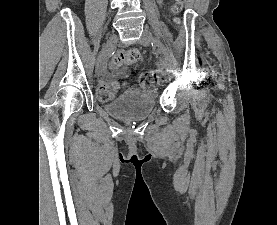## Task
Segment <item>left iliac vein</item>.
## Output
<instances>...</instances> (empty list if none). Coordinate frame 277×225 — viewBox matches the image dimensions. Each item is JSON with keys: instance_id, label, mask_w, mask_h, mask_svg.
I'll list each match as a JSON object with an SVG mask.
<instances>
[{"instance_id": "left-iliac-vein-1", "label": "left iliac vein", "mask_w": 277, "mask_h": 225, "mask_svg": "<svg viewBox=\"0 0 277 225\" xmlns=\"http://www.w3.org/2000/svg\"><path fill=\"white\" fill-rule=\"evenodd\" d=\"M151 42H152V33L150 30L145 29L143 31L142 37L139 40V44H141L143 46H148V45H150ZM164 76L167 79H170L172 77L171 73H169V72H164Z\"/></svg>"}]
</instances>
